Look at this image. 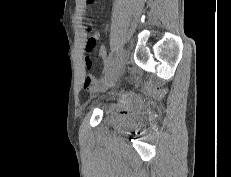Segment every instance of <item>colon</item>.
I'll list each match as a JSON object with an SVG mask.
<instances>
[{"mask_svg":"<svg viewBox=\"0 0 231 177\" xmlns=\"http://www.w3.org/2000/svg\"><path fill=\"white\" fill-rule=\"evenodd\" d=\"M94 1H95V0H86V3H87V4H92V3H94ZM94 43H95V39H94V37H91V38L89 39V41H88L87 49H88V50H91V49L93 48V46H94Z\"/></svg>","mask_w":231,"mask_h":177,"instance_id":"5ec220e1","label":"colon"}]
</instances>
